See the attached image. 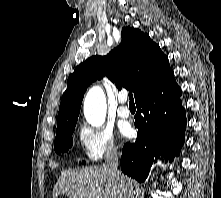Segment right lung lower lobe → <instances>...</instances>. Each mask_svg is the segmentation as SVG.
<instances>
[{
    "label": "right lung lower lobe",
    "instance_id": "obj_1",
    "mask_svg": "<svg viewBox=\"0 0 221 198\" xmlns=\"http://www.w3.org/2000/svg\"><path fill=\"white\" fill-rule=\"evenodd\" d=\"M181 95L170 70L136 100L138 136L135 143L123 147V173L142 183L160 155L168 157L170 162L179 155L187 123Z\"/></svg>",
    "mask_w": 221,
    "mask_h": 198
}]
</instances>
